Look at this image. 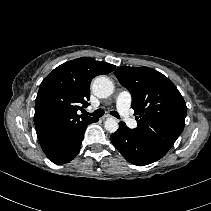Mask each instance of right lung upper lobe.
<instances>
[{"label":"right lung upper lobe","mask_w":211,"mask_h":211,"mask_svg":"<svg viewBox=\"0 0 211 211\" xmlns=\"http://www.w3.org/2000/svg\"><path fill=\"white\" fill-rule=\"evenodd\" d=\"M115 67L82 57L58 66L42 81L35 100L34 124L44 152L94 120L77 112L88 106L91 80L110 73Z\"/></svg>","instance_id":"1"}]
</instances>
